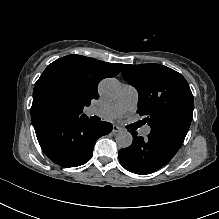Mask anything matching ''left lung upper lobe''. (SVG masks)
Masks as SVG:
<instances>
[{
	"mask_svg": "<svg viewBox=\"0 0 219 219\" xmlns=\"http://www.w3.org/2000/svg\"><path fill=\"white\" fill-rule=\"evenodd\" d=\"M124 79L138 91V113L151 134L180 148L193 118V95L185 78L160 64H125Z\"/></svg>",
	"mask_w": 219,
	"mask_h": 219,
	"instance_id": "1",
	"label": "left lung upper lobe"
}]
</instances>
